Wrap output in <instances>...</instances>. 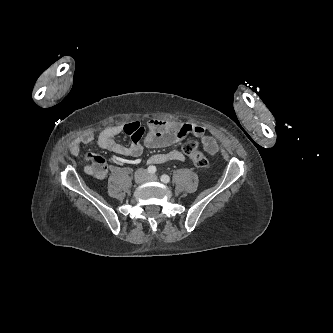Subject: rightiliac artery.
Listing matches in <instances>:
<instances>
[{"label": "right iliac artery", "mask_w": 333, "mask_h": 333, "mask_svg": "<svg viewBox=\"0 0 333 333\" xmlns=\"http://www.w3.org/2000/svg\"><path fill=\"white\" fill-rule=\"evenodd\" d=\"M147 171L151 174H154L156 172V167L155 166H149Z\"/></svg>", "instance_id": "obj_1"}]
</instances>
